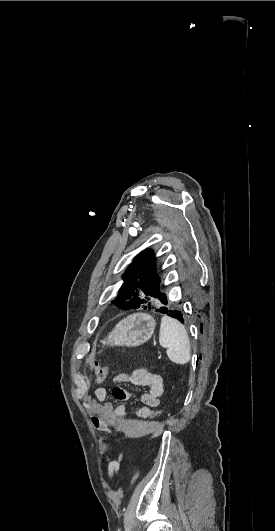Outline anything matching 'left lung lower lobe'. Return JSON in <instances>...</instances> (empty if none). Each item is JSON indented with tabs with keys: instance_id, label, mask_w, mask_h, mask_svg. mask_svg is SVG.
Wrapping results in <instances>:
<instances>
[{
	"instance_id": "left-lung-lower-lobe-1",
	"label": "left lung lower lobe",
	"mask_w": 275,
	"mask_h": 531,
	"mask_svg": "<svg viewBox=\"0 0 275 531\" xmlns=\"http://www.w3.org/2000/svg\"><path fill=\"white\" fill-rule=\"evenodd\" d=\"M160 312L164 313V314H167L168 316H171V317L179 320L180 322L184 323L182 312L178 308H176L174 310H168L167 308H161Z\"/></svg>"
}]
</instances>
